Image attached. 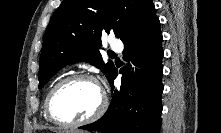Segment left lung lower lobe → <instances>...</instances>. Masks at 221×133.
<instances>
[{
    "label": "left lung lower lobe",
    "mask_w": 221,
    "mask_h": 133,
    "mask_svg": "<svg viewBox=\"0 0 221 133\" xmlns=\"http://www.w3.org/2000/svg\"><path fill=\"white\" fill-rule=\"evenodd\" d=\"M124 60L131 61L121 68L122 85L113 93L111 104L99 120L80 129L103 133H159L161 126L162 33L159 19L124 42ZM114 69L109 83L114 90Z\"/></svg>",
    "instance_id": "0a47b994"
}]
</instances>
